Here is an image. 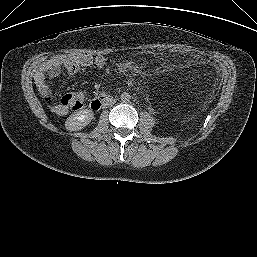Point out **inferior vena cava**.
Instances as JSON below:
<instances>
[{
    "instance_id": "1",
    "label": "inferior vena cava",
    "mask_w": 257,
    "mask_h": 257,
    "mask_svg": "<svg viewBox=\"0 0 257 257\" xmlns=\"http://www.w3.org/2000/svg\"><path fill=\"white\" fill-rule=\"evenodd\" d=\"M115 103V100H111L108 105H113Z\"/></svg>"
}]
</instances>
